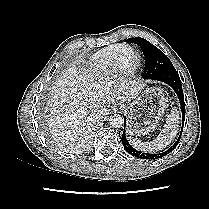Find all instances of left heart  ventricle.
I'll return each instance as SVG.
<instances>
[{"label": "left heart ventricle", "instance_id": "obj_1", "mask_svg": "<svg viewBox=\"0 0 209 209\" xmlns=\"http://www.w3.org/2000/svg\"><path fill=\"white\" fill-rule=\"evenodd\" d=\"M135 53L132 50H126L121 56V61L123 64L131 63L134 58Z\"/></svg>", "mask_w": 209, "mask_h": 209}]
</instances>
